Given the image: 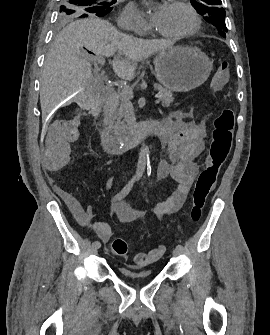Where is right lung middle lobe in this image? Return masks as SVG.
Masks as SVG:
<instances>
[{"label":"right lung middle lobe","instance_id":"dd1d6c3e","mask_svg":"<svg viewBox=\"0 0 270 335\" xmlns=\"http://www.w3.org/2000/svg\"><path fill=\"white\" fill-rule=\"evenodd\" d=\"M58 11V21L66 22L89 17L90 14L103 17L109 13L116 0H62Z\"/></svg>","mask_w":270,"mask_h":335}]
</instances>
